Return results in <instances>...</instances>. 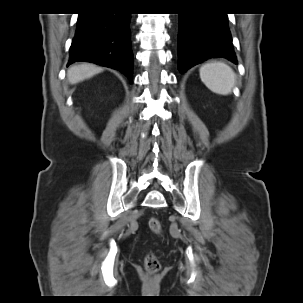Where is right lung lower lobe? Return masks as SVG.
Instances as JSON below:
<instances>
[{
    "label": "right lung lower lobe",
    "instance_id": "obj_1",
    "mask_svg": "<svg viewBox=\"0 0 303 303\" xmlns=\"http://www.w3.org/2000/svg\"><path fill=\"white\" fill-rule=\"evenodd\" d=\"M131 14L93 9L79 14L68 65L93 62L119 70L132 82Z\"/></svg>",
    "mask_w": 303,
    "mask_h": 303
}]
</instances>
